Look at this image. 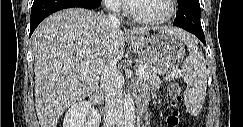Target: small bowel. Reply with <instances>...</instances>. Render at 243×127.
Returning a JSON list of instances; mask_svg holds the SVG:
<instances>
[{
    "instance_id": "small-bowel-1",
    "label": "small bowel",
    "mask_w": 243,
    "mask_h": 127,
    "mask_svg": "<svg viewBox=\"0 0 243 127\" xmlns=\"http://www.w3.org/2000/svg\"><path fill=\"white\" fill-rule=\"evenodd\" d=\"M141 94L145 95V90L144 89L142 90Z\"/></svg>"
}]
</instances>
